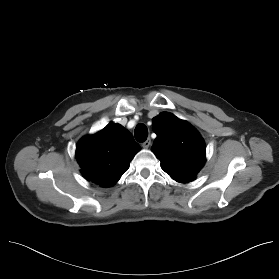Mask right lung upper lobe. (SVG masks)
I'll return each mask as SVG.
<instances>
[{"instance_id": "right-lung-upper-lobe-1", "label": "right lung upper lobe", "mask_w": 279, "mask_h": 279, "mask_svg": "<svg viewBox=\"0 0 279 279\" xmlns=\"http://www.w3.org/2000/svg\"><path fill=\"white\" fill-rule=\"evenodd\" d=\"M140 149L127 129L111 123L78 142L76 159L87 180L101 187H110L127 171Z\"/></svg>"}]
</instances>
